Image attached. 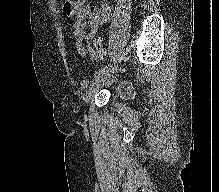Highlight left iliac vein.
Here are the masks:
<instances>
[{
	"instance_id": "obj_1",
	"label": "left iliac vein",
	"mask_w": 219,
	"mask_h": 192,
	"mask_svg": "<svg viewBox=\"0 0 219 192\" xmlns=\"http://www.w3.org/2000/svg\"><path fill=\"white\" fill-rule=\"evenodd\" d=\"M117 66L118 65L112 66L106 72L94 78V80L90 83V86L88 87L87 91L83 96V101L85 103H89L94 98L97 90L102 85H104L105 83L110 84L113 81L112 76L117 71Z\"/></svg>"
}]
</instances>
